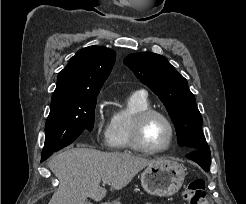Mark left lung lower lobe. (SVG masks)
<instances>
[{
	"label": "left lung lower lobe",
	"instance_id": "obj_1",
	"mask_svg": "<svg viewBox=\"0 0 246 204\" xmlns=\"http://www.w3.org/2000/svg\"><path fill=\"white\" fill-rule=\"evenodd\" d=\"M186 157L198 163L205 171H209L211 155L208 145L204 148L195 149Z\"/></svg>",
	"mask_w": 246,
	"mask_h": 204
}]
</instances>
